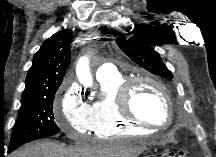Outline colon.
<instances>
[{
    "mask_svg": "<svg viewBox=\"0 0 216 157\" xmlns=\"http://www.w3.org/2000/svg\"><path fill=\"white\" fill-rule=\"evenodd\" d=\"M186 150L185 148H176L171 151H168L167 153L164 154V157H186Z\"/></svg>",
    "mask_w": 216,
    "mask_h": 157,
    "instance_id": "obj_1",
    "label": "colon"
}]
</instances>
